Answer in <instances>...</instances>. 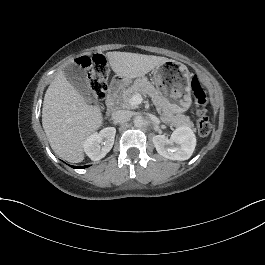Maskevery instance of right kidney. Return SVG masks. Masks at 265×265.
<instances>
[{
  "instance_id": "ca27d5eb",
  "label": "right kidney",
  "mask_w": 265,
  "mask_h": 265,
  "mask_svg": "<svg viewBox=\"0 0 265 265\" xmlns=\"http://www.w3.org/2000/svg\"><path fill=\"white\" fill-rule=\"evenodd\" d=\"M116 129L107 127L99 133H93L83 142V148L86 155L93 161H98L105 157L114 144Z\"/></svg>"
}]
</instances>
